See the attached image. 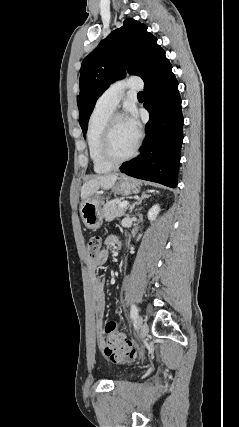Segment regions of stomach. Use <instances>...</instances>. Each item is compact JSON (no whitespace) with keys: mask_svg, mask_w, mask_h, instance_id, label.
I'll list each match as a JSON object with an SVG mask.
<instances>
[{"mask_svg":"<svg viewBox=\"0 0 239 427\" xmlns=\"http://www.w3.org/2000/svg\"><path fill=\"white\" fill-rule=\"evenodd\" d=\"M113 192L128 196L139 192L138 183L129 177H122L112 188ZM101 200L99 196H91L80 205V214L85 226L89 229H98L103 223L101 211Z\"/></svg>","mask_w":239,"mask_h":427,"instance_id":"1","label":"stomach"}]
</instances>
